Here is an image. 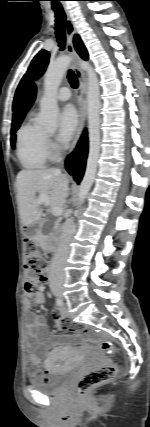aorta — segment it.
<instances>
[{"mask_svg": "<svg viewBox=\"0 0 150 427\" xmlns=\"http://www.w3.org/2000/svg\"><path fill=\"white\" fill-rule=\"evenodd\" d=\"M68 56L58 57L49 65L44 78V94L40 101L41 112L38 122L49 130L58 125L59 108L57 91L62 78L71 63ZM80 67L87 73V116L89 130V153L84 177L79 186L78 200L82 204L94 182L100 154V87L93 67L85 61H79Z\"/></svg>", "mask_w": 150, "mask_h": 427, "instance_id": "762f6f07", "label": "aorta"}]
</instances>
